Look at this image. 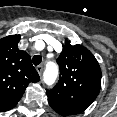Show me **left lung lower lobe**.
Instances as JSON below:
<instances>
[{
  "mask_svg": "<svg viewBox=\"0 0 117 117\" xmlns=\"http://www.w3.org/2000/svg\"><path fill=\"white\" fill-rule=\"evenodd\" d=\"M50 106L60 115L62 116H71L78 114L76 111H74L72 108L63 105V104H55L52 102H49Z\"/></svg>",
  "mask_w": 117,
  "mask_h": 117,
  "instance_id": "1",
  "label": "left lung lower lobe"
}]
</instances>
